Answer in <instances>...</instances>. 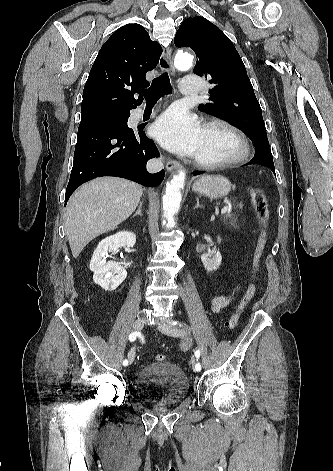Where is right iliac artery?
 Returning <instances> with one entry per match:
<instances>
[{
	"mask_svg": "<svg viewBox=\"0 0 333 471\" xmlns=\"http://www.w3.org/2000/svg\"><path fill=\"white\" fill-rule=\"evenodd\" d=\"M136 337H137V332H132L130 335H129V340L130 341H135L136 340ZM129 364V361L127 359H125L123 361V365L124 366H127Z\"/></svg>",
	"mask_w": 333,
	"mask_h": 471,
	"instance_id": "1",
	"label": "right iliac artery"
}]
</instances>
